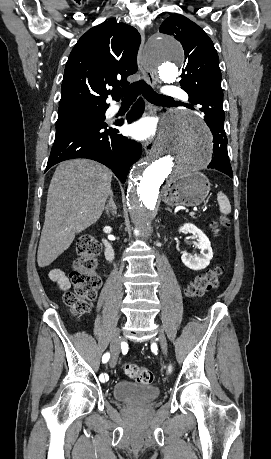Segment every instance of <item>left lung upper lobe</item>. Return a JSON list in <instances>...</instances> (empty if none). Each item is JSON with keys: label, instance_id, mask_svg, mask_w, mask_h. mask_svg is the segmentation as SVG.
Listing matches in <instances>:
<instances>
[{"label": "left lung upper lobe", "instance_id": "1", "mask_svg": "<svg viewBox=\"0 0 271 459\" xmlns=\"http://www.w3.org/2000/svg\"><path fill=\"white\" fill-rule=\"evenodd\" d=\"M159 31L181 42L185 52L181 88L200 111L224 115L219 57L213 42L197 24L183 15L173 14L161 24Z\"/></svg>", "mask_w": 271, "mask_h": 459}]
</instances>
